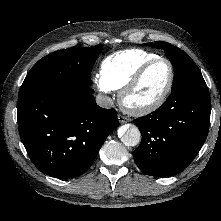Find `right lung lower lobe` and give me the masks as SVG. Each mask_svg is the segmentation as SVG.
<instances>
[{
	"instance_id": "1",
	"label": "right lung lower lobe",
	"mask_w": 221,
	"mask_h": 221,
	"mask_svg": "<svg viewBox=\"0 0 221 221\" xmlns=\"http://www.w3.org/2000/svg\"><path fill=\"white\" fill-rule=\"evenodd\" d=\"M93 91L52 88L19 94L20 137L41 172L56 178L82 175L119 126L116 110L99 107Z\"/></svg>"
}]
</instances>
